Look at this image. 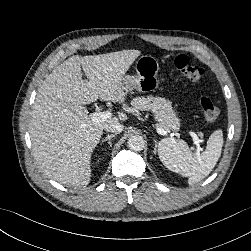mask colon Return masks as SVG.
Listing matches in <instances>:
<instances>
[{"mask_svg": "<svg viewBox=\"0 0 251 251\" xmlns=\"http://www.w3.org/2000/svg\"><path fill=\"white\" fill-rule=\"evenodd\" d=\"M175 66L185 78L193 82L200 81L204 75V69L193 63L186 55L177 56L175 59ZM200 103L204 118L207 121L212 122L219 117V109L210 98L203 97Z\"/></svg>", "mask_w": 251, "mask_h": 251, "instance_id": "1", "label": "colon"}]
</instances>
